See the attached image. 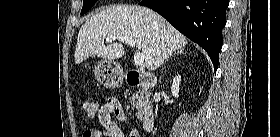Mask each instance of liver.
<instances>
[{
    "mask_svg": "<svg viewBox=\"0 0 280 137\" xmlns=\"http://www.w3.org/2000/svg\"><path fill=\"white\" fill-rule=\"evenodd\" d=\"M110 36L132 38L149 71L157 69L170 54L188 43L183 34L154 11L136 5H116L91 16L81 26L75 63H82L92 55L111 61L121 58L125 53L122 43L104 44Z\"/></svg>",
    "mask_w": 280,
    "mask_h": 137,
    "instance_id": "liver-1",
    "label": "liver"
}]
</instances>
